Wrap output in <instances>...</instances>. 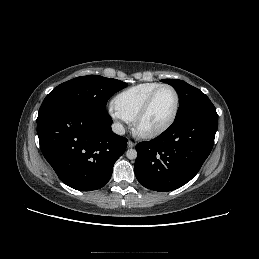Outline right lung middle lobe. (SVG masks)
<instances>
[{
    "instance_id": "dd1d6c3e",
    "label": "right lung middle lobe",
    "mask_w": 259,
    "mask_h": 259,
    "mask_svg": "<svg viewBox=\"0 0 259 259\" xmlns=\"http://www.w3.org/2000/svg\"><path fill=\"white\" fill-rule=\"evenodd\" d=\"M127 83L99 75L77 77L58 85L44 99L38 116L62 106H79L99 114H107L108 99Z\"/></svg>"
}]
</instances>
